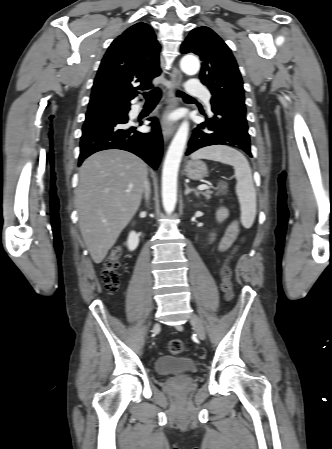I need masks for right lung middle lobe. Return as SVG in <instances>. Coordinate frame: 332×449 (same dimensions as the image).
<instances>
[{
  "instance_id": "1",
  "label": "right lung middle lobe",
  "mask_w": 332,
  "mask_h": 449,
  "mask_svg": "<svg viewBox=\"0 0 332 449\" xmlns=\"http://www.w3.org/2000/svg\"><path fill=\"white\" fill-rule=\"evenodd\" d=\"M128 108H120V109H110L106 111L87 113L85 122H90L94 120H100L110 115L115 116H126Z\"/></svg>"
}]
</instances>
